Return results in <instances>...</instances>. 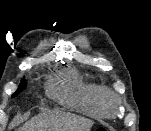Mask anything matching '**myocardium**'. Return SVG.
Here are the masks:
<instances>
[{
	"mask_svg": "<svg viewBox=\"0 0 151 131\" xmlns=\"http://www.w3.org/2000/svg\"><path fill=\"white\" fill-rule=\"evenodd\" d=\"M120 99L114 93L108 92L103 98V108L106 115L112 116L118 112Z\"/></svg>",
	"mask_w": 151,
	"mask_h": 131,
	"instance_id": "myocardium-1",
	"label": "myocardium"
}]
</instances>
